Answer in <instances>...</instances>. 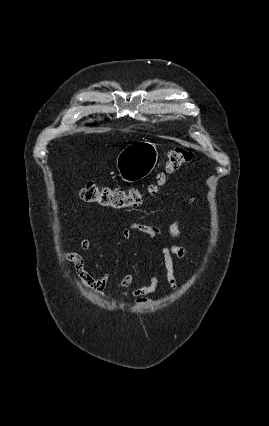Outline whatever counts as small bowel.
<instances>
[{"instance_id":"small-bowel-1","label":"small bowel","mask_w":269,"mask_h":426,"mask_svg":"<svg viewBox=\"0 0 269 426\" xmlns=\"http://www.w3.org/2000/svg\"><path fill=\"white\" fill-rule=\"evenodd\" d=\"M139 232L150 240H157L162 235V231L159 227L152 224L133 223L129 228H125L121 232V237L129 241L132 239L133 232ZM168 235L170 238L179 240L181 238V230L177 222L170 224L168 229ZM82 249L89 252L92 248V241L90 238H84L81 242ZM159 253L162 259V265L165 272V279L168 287L171 290L177 288V278L174 273V257H178L187 263L191 262V258L188 255L186 249L180 244H167L159 248ZM64 257L69 262L73 263L76 277L81 282L83 287L87 291L95 292L99 297L106 299L108 293L106 287L112 276V269L106 271L101 277L94 278L85 268V263L82 256L77 252H64ZM160 269H156L150 278V281L145 286H140L131 291V295L136 299L139 304H147L151 302L149 297L152 294L159 283ZM134 281V275L127 273L117 284L116 289H124L129 287Z\"/></svg>"}]
</instances>
